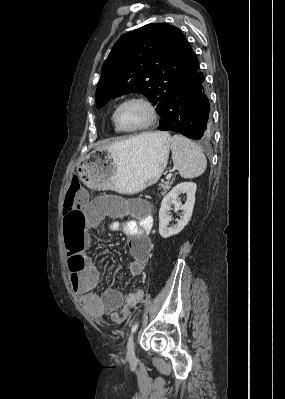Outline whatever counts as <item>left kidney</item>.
Returning a JSON list of instances; mask_svg holds the SVG:
<instances>
[{
	"instance_id": "left-kidney-1",
	"label": "left kidney",
	"mask_w": 285,
	"mask_h": 399,
	"mask_svg": "<svg viewBox=\"0 0 285 399\" xmlns=\"http://www.w3.org/2000/svg\"><path fill=\"white\" fill-rule=\"evenodd\" d=\"M197 185L193 182H184L176 185L172 190L163 198L159 210V234L163 238H168L178 234L188 224L192 216L193 207L195 203V193ZM186 193L187 199L184 205L179 201V195ZM174 205V211L182 210V216L177 224L173 227H168L171 221L170 210Z\"/></svg>"
}]
</instances>
